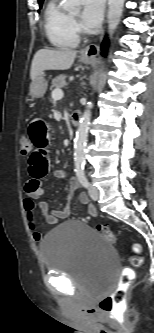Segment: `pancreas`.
I'll return each mask as SVG.
<instances>
[{"label": "pancreas", "instance_id": "obj_1", "mask_svg": "<svg viewBox=\"0 0 154 333\" xmlns=\"http://www.w3.org/2000/svg\"><path fill=\"white\" fill-rule=\"evenodd\" d=\"M66 75H59L55 79H53L51 83L50 89L52 90L53 88H60L66 85Z\"/></svg>", "mask_w": 154, "mask_h": 333}]
</instances>
